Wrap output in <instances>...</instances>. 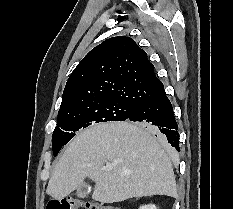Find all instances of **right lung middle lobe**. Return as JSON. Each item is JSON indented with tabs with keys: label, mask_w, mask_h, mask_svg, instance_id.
Returning a JSON list of instances; mask_svg holds the SVG:
<instances>
[{
	"label": "right lung middle lobe",
	"mask_w": 233,
	"mask_h": 209,
	"mask_svg": "<svg viewBox=\"0 0 233 209\" xmlns=\"http://www.w3.org/2000/svg\"><path fill=\"white\" fill-rule=\"evenodd\" d=\"M137 104L121 99H102L76 107L67 113L58 115L57 127L52 135V148L57 156L62 146L68 143L79 129L107 121H124ZM141 126L153 130L145 123Z\"/></svg>",
	"instance_id": "1"
}]
</instances>
